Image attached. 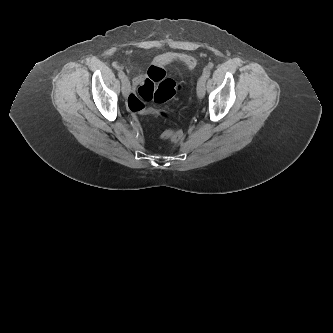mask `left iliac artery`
<instances>
[{"label":"left iliac artery","mask_w":333,"mask_h":333,"mask_svg":"<svg viewBox=\"0 0 333 333\" xmlns=\"http://www.w3.org/2000/svg\"><path fill=\"white\" fill-rule=\"evenodd\" d=\"M209 76H210V71L206 70V71L203 72V75H202L201 79L206 81L209 78Z\"/></svg>","instance_id":"44dca946"}]
</instances>
